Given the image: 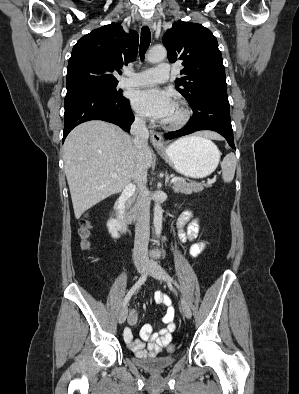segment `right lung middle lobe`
<instances>
[{"mask_svg": "<svg viewBox=\"0 0 299 394\" xmlns=\"http://www.w3.org/2000/svg\"><path fill=\"white\" fill-rule=\"evenodd\" d=\"M117 83L118 82L89 83L74 88H68L67 92L79 91V90H99V91L108 92L109 94L113 95V97L116 99H121L122 98L121 92L116 90Z\"/></svg>", "mask_w": 299, "mask_h": 394, "instance_id": "obj_1", "label": "right lung middle lobe"}]
</instances>
